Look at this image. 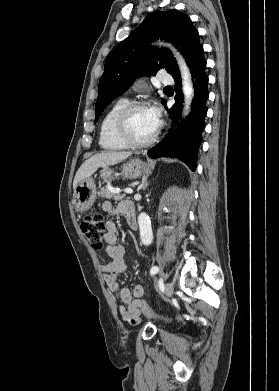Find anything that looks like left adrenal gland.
Instances as JSON below:
<instances>
[{"mask_svg":"<svg viewBox=\"0 0 279 391\" xmlns=\"http://www.w3.org/2000/svg\"><path fill=\"white\" fill-rule=\"evenodd\" d=\"M148 181H147V177H144L143 180H142V184L140 185V189H143V190H146V188L148 187Z\"/></svg>","mask_w":279,"mask_h":391,"instance_id":"a2214340","label":"left adrenal gland"}]
</instances>
